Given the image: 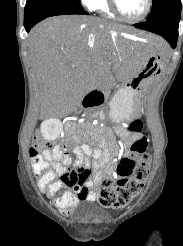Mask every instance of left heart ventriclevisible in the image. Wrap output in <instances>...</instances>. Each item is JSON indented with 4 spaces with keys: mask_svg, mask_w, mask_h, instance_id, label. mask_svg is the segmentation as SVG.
<instances>
[{
    "mask_svg": "<svg viewBox=\"0 0 183 246\" xmlns=\"http://www.w3.org/2000/svg\"><path fill=\"white\" fill-rule=\"evenodd\" d=\"M120 10L129 18L140 16L146 7V0H118Z\"/></svg>",
    "mask_w": 183,
    "mask_h": 246,
    "instance_id": "b2bd125f",
    "label": "left heart ventricle"
}]
</instances>
